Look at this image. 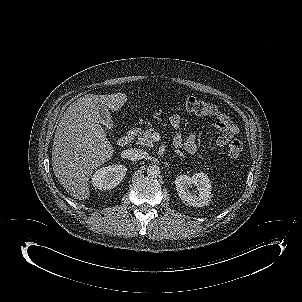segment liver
Wrapping results in <instances>:
<instances>
[{
  "mask_svg": "<svg viewBox=\"0 0 302 302\" xmlns=\"http://www.w3.org/2000/svg\"><path fill=\"white\" fill-rule=\"evenodd\" d=\"M126 101L124 93L87 94L74 101L60 119L53 139L52 168L73 198H89L90 176L114 154L101 126L99 108L117 111Z\"/></svg>",
  "mask_w": 302,
  "mask_h": 302,
  "instance_id": "1",
  "label": "liver"
}]
</instances>
